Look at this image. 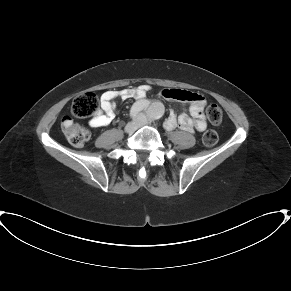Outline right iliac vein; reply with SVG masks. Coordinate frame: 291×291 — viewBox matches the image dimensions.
<instances>
[{
  "mask_svg": "<svg viewBox=\"0 0 291 291\" xmlns=\"http://www.w3.org/2000/svg\"><path fill=\"white\" fill-rule=\"evenodd\" d=\"M139 128V120L135 119L131 122H129L125 127V132L127 133H133Z\"/></svg>",
  "mask_w": 291,
  "mask_h": 291,
  "instance_id": "1",
  "label": "right iliac vein"
}]
</instances>
